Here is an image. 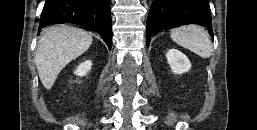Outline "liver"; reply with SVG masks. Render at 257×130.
<instances>
[{
	"mask_svg": "<svg viewBox=\"0 0 257 130\" xmlns=\"http://www.w3.org/2000/svg\"><path fill=\"white\" fill-rule=\"evenodd\" d=\"M92 40L91 34L86 31L65 25L43 30L35 64L47 90L52 88L58 74L68 63L88 50Z\"/></svg>",
	"mask_w": 257,
	"mask_h": 130,
	"instance_id": "liver-1",
	"label": "liver"
}]
</instances>
